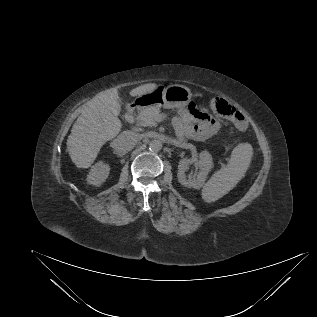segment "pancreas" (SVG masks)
<instances>
[{
	"label": "pancreas",
	"mask_w": 317,
	"mask_h": 317,
	"mask_svg": "<svg viewBox=\"0 0 317 317\" xmlns=\"http://www.w3.org/2000/svg\"><path fill=\"white\" fill-rule=\"evenodd\" d=\"M160 114V108L156 106L147 107L141 110L137 116V123L143 127H152L157 125V116Z\"/></svg>",
	"instance_id": "pancreas-1"
}]
</instances>
